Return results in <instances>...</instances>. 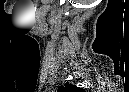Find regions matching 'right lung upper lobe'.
<instances>
[{"mask_svg":"<svg viewBox=\"0 0 129 92\" xmlns=\"http://www.w3.org/2000/svg\"><path fill=\"white\" fill-rule=\"evenodd\" d=\"M58 91L59 92H78L79 88L70 84H65L64 86H61Z\"/></svg>","mask_w":129,"mask_h":92,"instance_id":"right-lung-upper-lobe-1","label":"right lung upper lobe"}]
</instances>
